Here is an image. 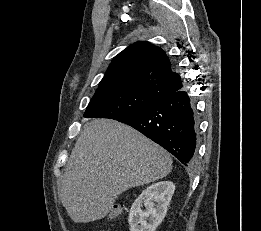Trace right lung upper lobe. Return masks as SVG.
I'll return each mask as SVG.
<instances>
[{
  "mask_svg": "<svg viewBox=\"0 0 261 231\" xmlns=\"http://www.w3.org/2000/svg\"><path fill=\"white\" fill-rule=\"evenodd\" d=\"M130 86L144 89L160 99L180 90L183 84L161 48L149 42H137L112 60L96 92Z\"/></svg>",
  "mask_w": 261,
  "mask_h": 231,
  "instance_id": "1",
  "label": "right lung upper lobe"
}]
</instances>
